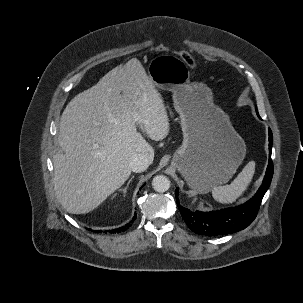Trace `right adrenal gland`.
<instances>
[{
  "label": "right adrenal gland",
  "mask_w": 303,
  "mask_h": 303,
  "mask_svg": "<svg viewBox=\"0 0 303 303\" xmlns=\"http://www.w3.org/2000/svg\"><path fill=\"white\" fill-rule=\"evenodd\" d=\"M133 178H134V176H131V178H130L129 181L127 182L126 187L122 190V191H123V194H126V193H127V189H128L129 184H130V182L132 181Z\"/></svg>",
  "instance_id": "right-adrenal-gland-1"
}]
</instances>
